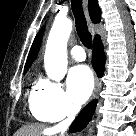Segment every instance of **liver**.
<instances>
[{
  "label": "liver",
  "instance_id": "1",
  "mask_svg": "<svg viewBox=\"0 0 136 136\" xmlns=\"http://www.w3.org/2000/svg\"><path fill=\"white\" fill-rule=\"evenodd\" d=\"M58 131L53 128H45L40 124H30L21 127L15 136H54Z\"/></svg>",
  "mask_w": 136,
  "mask_h": 136
}]
</instances>
